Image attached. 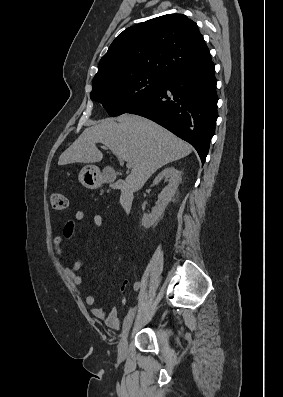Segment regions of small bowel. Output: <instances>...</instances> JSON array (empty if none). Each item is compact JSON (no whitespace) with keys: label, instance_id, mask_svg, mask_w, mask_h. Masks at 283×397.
Instances as JSON below:
<instances>
[{"label":"small bowel","instance_id":"small-bowel-1","mask_svg":"<svg viewBox=\"0 0 283 397\" xmlns=\"http://www.w3.org/2000/svg\"><path fill=\"white\" fill-rule=\"evenodd\" d=\"M88 217V212L85 210H79L75 213L73 219H69L65 222L63 226L62 234L56 236L53 240V245L57 255H62L64 245L69 242L74 234L76 229V223L85 220ZM93 224L96 227L103 226V217L100 214L92 215ZM83 267V262L78 260L73 263L72 266L67 267L65 269L66 275L71 279V281L76 285H82L84 283V278L81 274H79L80 270ZM127 281H125L122 291L125 290V286ZM85 302L88 306L91 307V313L96 318L102 319L105 324L115 330L120 328V321L117 316V310L115 307H111L108 310H105L96 305V298L93 295H88L85 299Z\"/></svg>","mask_w":283,"mask_h":397}]
</instances>
